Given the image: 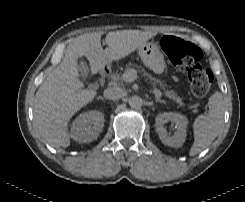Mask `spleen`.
Wrapping results in <instances>:
<instances>
[{
  "mask_svg": "<svg viewBox=\"0 0 245 202\" xmlns=\"http://www.w3.org/2000/svg\"><path fill=\"white\" fill-rule=\"evenodd\" d=\"M208 106V114L200 115L194 121V143L189 152L190 156L206 149L221 131L225 111L222 94L215 91L209 98Z\"/></svg>",
  "mask_w": 245,
  "mask_h": 202,
  "instance_id": "1",
  "label": "spleen"
}]
</instances>
